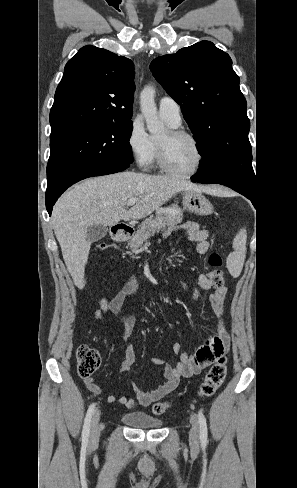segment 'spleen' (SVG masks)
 Masks as SVG:
<instances>
[{"label":"spleen","mask_w":297,"mask_h":488,"mask_svg":"<svg viewBox=\"0 0 297 488\" xmlns=\"http://www.w3.org/2000/svg\"><path fill=\"white\" fill-rule=\"evenodd\" d=\"M247 236L242 229L233 240L234 251L227 258V268L233 277H238L242 271L246 254Z\"/></svg>","instance_id":"1"}]
</instances>
